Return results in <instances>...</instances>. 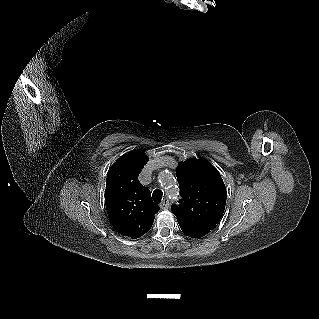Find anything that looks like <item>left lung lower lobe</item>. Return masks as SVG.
I'll return each mask as SVG.
<instances>
[{
    "label": "left lung lower lobe",
    "instance_id": "0a47b994",
    "mask_svg": "<svg viewBox=\"0 0 319 319\" xmlns=\"http://www.w3.org/2000/svg\"><path fill=\"white\" fill-rule=\"evenodd\" d=\"M178 223L180 225L181 230L184 232V234L192 238H200L205 236L207 233H209L208 230L194 228L180 222Z\"/></svg>",
    "mask_w": 319,
    "mask_h": 319
}]
</instances>
